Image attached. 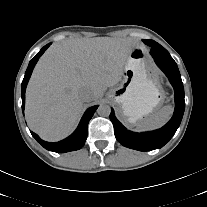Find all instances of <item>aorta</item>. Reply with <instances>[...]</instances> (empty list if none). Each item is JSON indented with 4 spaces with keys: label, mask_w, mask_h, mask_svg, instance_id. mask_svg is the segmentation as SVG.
Wrapping results in <instances>:
<instances>
[{
    "label": "aorta",
    "mask_w": 207,
    "mask_h": 207,
    "mask_svg": "<svg viewBox=\"0 0 207 207\" xmlns=\"http://www.w3.org/2000/svg\"><path fill=\"white\" fill-rule=\"evenodd\" d=\"M97 113L100 115V116H103V117H108L111 113V108L109 105L107 104H101L98 109H97Z\"/></svg>",
    "instance_id": "1"
}]
</instances>
